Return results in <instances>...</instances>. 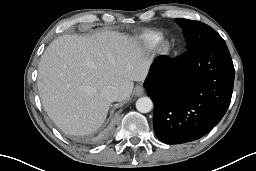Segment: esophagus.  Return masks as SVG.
Segmentation results:
<instances>
[{"label": "esophagus", "instance_id": "1", "mask_svg": "<svg viewBox=\"0 0 256 171\" xmlns=\"http://www.w3.org/2000/svg\"><path fill=\"white\" fill-rule=\"evenodd\" d=\"M134 94L136 96H141L144 94V87L142 85H137L135 88H134Z\"/></svg>", "mask_w": 256, "mask_h": 171}]
</instances>
